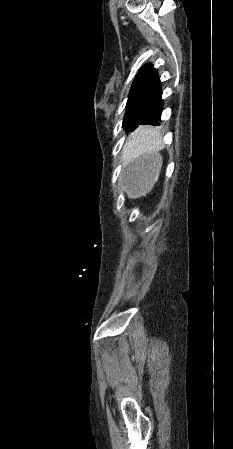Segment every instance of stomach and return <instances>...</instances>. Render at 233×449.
Listing matches in <instances>:
<instances>
[{"label":"stomach","instance_id":"1","mask_svg":"<svg viewBox=\"0 0 233 449\" xmlns=\"http://www.w3.org/2000/svg\"><path fill=\"white\" fill-rule=\"evenodd\" d=\"M161 166V157L153 152L141 157L131 168L128 175V199L131 201H144L147 192L151 190L157 172Z\"/></svg>","mask_w":233,"mask_h":449}]
</instances>
